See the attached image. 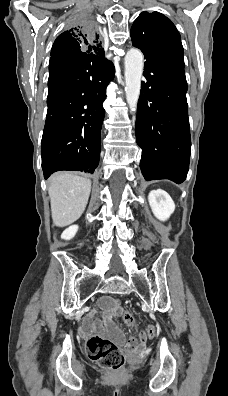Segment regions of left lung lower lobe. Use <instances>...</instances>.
<instances>
[{"mask_svg": "<svg viewBox=\"0 0 228 396\" xmlns=\"http://www.w3.org/2000/svg\"><path fill=\"white\" fill-rule=\"evenodd\" d=\"M140 49V48H139ZM145 81L141 83L136 139L142 149L145 180L182 183L189 169L191 138L184 68L173 59L141 49Z\"/></svg>", "mask_w": 228, "mask_h": 396, "instance_id": "obj_1", "label": "left lung lower lobe"}]
</instances>
